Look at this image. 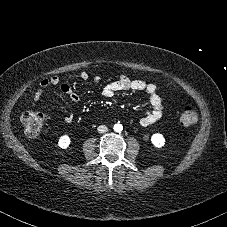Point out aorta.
I'll return each instance as SVG.
<instances>
[{
  "label": "aorta",
  "mask_w": 227,
  "mask_h": 227,
  "mask_svg": "<svg viewBox=\"0 0 227 227\" xmlns=\"http://www.w3.org/2000/svg\"><path fill=\"white\" fill-rule=\"evenodd\" d=\"M122 129H123V126H122L121 124H115V125H114V130H115L116 132H121Z\"/></svg>",
  "instance_id": "aorta-1"
}]
</instances>
